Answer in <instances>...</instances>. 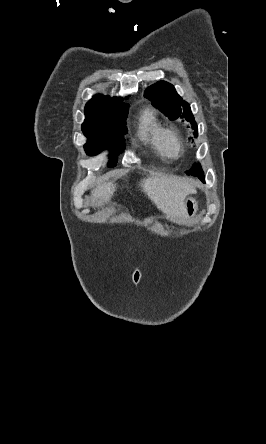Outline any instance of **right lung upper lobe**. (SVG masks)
I'll list each match as a JSON object with an SVG mask.
<instances>
[{
    "label": "right lung upper lobe",
    "instance_id": "right-lung-upper-lobe-1",
    "mask_svg": "<svg viewBox=\"0 0 266 444\" xmlns=\"http://www.w3.org/2000/svg\"><path fill=\"white\" fill-rule=\"evenodd\" d=\"M122 100L123 98L96 95L86 104L85 111L95 109L104 104L122 102Z\"/></svg>",
    "mask_w": 266,
    "mask_h": 444
}]
</instances>
